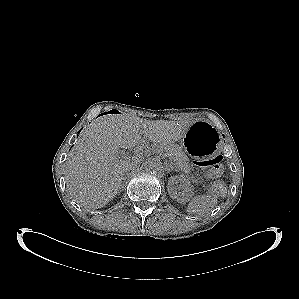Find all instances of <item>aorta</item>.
Listing matches in <instances>:
<instances>
[{"mask_svg": "<svg viewBox=\"0 0 299 299\" xmlns=\"http://www.w3.org/2000/svg\"><path fill=\"white\" fill-rule=\"evenodd\" d=\"M144 170L151 174H158L163 170V164L159 159H149L144 164Z\"/></svg>", "mask_w": 299, "mask_h": 299, "instance_id": "aorta-1", "label": "aorta"}]
</instances>
